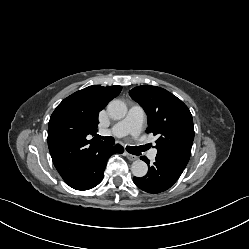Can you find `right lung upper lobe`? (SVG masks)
<instances>
[{
	"label": "right lung upper lobe",
	"mask_w": 249,
	"mask_h": 249,
	"mask_svg": "<svg viewBox=\"0 0 249 249\" xmlns=\"http://www.w3.org/2000/svg\"><path fill=\"white\" fill-rule=\"evenodd\" d=\"M121 89V86H89L65 98L52 113L48 147L54 166L66 183L104 145L101 140L89 137L97 132L99 112Z\"/></svg>",
	"instance_id": "cb5924a9"
}]
</instances>
